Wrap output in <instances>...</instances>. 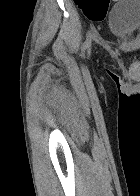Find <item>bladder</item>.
Masks as SVG:
<instances>
[{"label": "bladder", "mask_w": 140, "mask_h": 196, "mask_svg": "<svg viewBox=\"0 0 140 196\" xmlns=\"http://www.w3.org/2000/svg\"><path fill=\"white\" fill-rule=\"evenodd\" d=\"M110 30L119 41H130L140 33V0H120L109 14Z\"/></svg>", "instance_id": "bladder-1"}]
</instances>
